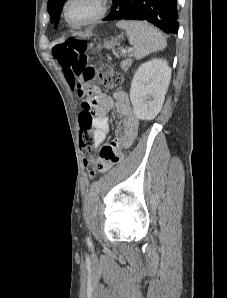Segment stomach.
Listing matches in <instances>:
<instances>
[{"instance_id": "obj_1", "label": "stomach", "mask_w": 227, "mask_h": 298, "mask_svg": "<svg viewBox=\"0 0 227 298\" xmlns=\"http://www.w3.org/2000/svg\"><path fill=\"white\" fill-rule=\"evenodd\" d=\"M115 45H118L117 39L111 40L110 42L106 43L105 47L110 49V48H113Z\"/></svg>"}]
</instances>
